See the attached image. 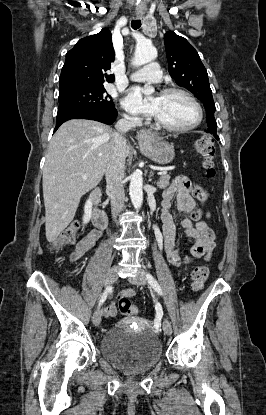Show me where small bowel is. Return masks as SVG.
Segmentation results:
<instances>
[{"mask_svg":"<svg viewBox=\"0 0 266 415\" xmlns=\"http://www.w3.org/2000/svg\"><path fill=\"white\" fill-rule=\"evenodd\" d=\"M191 182L185 176H177L170 187L165 191L162 202V233L164 239V248L168 261L176 266L181 267L188 264L194 258L208 260L211 257L215 247V235L213 230L205 221H200L195 215L186 217L181 221V227L184 234L194 240V245L190 255L181 256L174 248L176 237V224L172 214L169 212L170 201L176 196L177 208L180 212L189 214L195 208V200L191 195ZM101 237V232L97 230L90 231L75 246L70 254L72 263L79 260L89 249L93 247L96 241ZM134 294L131 289L123 290L117 296V299L130 297ZM107 316L116 314V301H113L104 311Z\"/></svg>","mask_w":266,"mask_h":415,"instance_id":"c3829d8e","label":"small bowel"}]
</instances>
